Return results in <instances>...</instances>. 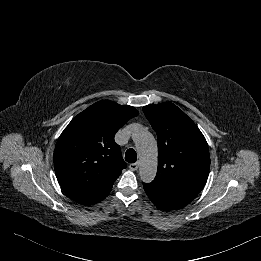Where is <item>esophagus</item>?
<instances>
[{"label": "esophagus", "mask_w": 261, "mask_h": 261, "mask_svg": "<svg viewBox=\"0 0 261 261\" xmlns=\"http://www.w3.org/2000/svg\"><path fill=\"white\" fill-rule=\"evenodd\" d=\"M138 167H139V163H138V162H136V163H131V164L129 165V169L132 170V171H136V170L138 169Z\"/></svg>", "instance_id": "esophagus-1"}]
</instances>
